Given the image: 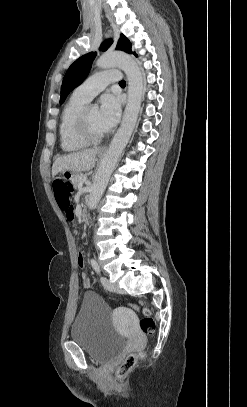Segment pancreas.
<instances>
[{
	"mask_svg": "<svg viewBox=\"0 0 247 407\" xmlns=\"http://www.w3.org/2000/svg\"><path fill=\"white\" fill-rule=\"evenodd\" d=\"M85 177V175L84 174H77L75 177H74V179H73V185L75 186V187H77V186H79V184H80V182H81V180L83 179Z\"/></svg>",
	"mask_w": 247,
	"mask_h": 407,
	"instance_id": "pancreas-1",
	"label": "pancreas"
}]
</instances>
